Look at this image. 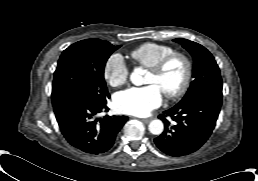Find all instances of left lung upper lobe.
<instances>
[{
  "mask_svg": "<svg viewBox=\"0 0 258 181\" xmlns=\"http://www.w3.org/2000/svg\"><path fill=\"white\" fill-rule=\"evenodd\" d=\"M191 53L194 59L193 77L186 95L178 104L189 103L206 94L222 95V79L212 54L202 45L187 39H174Z\"/></svg>",
  "mask_w": 258,
  "mask_h": 181,
  "instance_id": "5c2ea615",
  "label": "left lung upper lobe"
}]
</instances>
